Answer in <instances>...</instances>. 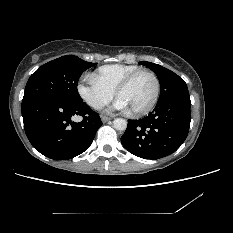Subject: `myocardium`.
Masks as SVG:
<instances>
[{
	"instance_id": "f54148a6",
	"label": "myocardium",
	"mask_w": 233,
	"mask_h": 233,
	"mask_svg": "<svg viewBox=\"0 0 233 233\" xmlns=\"http://www.w3.org/2000/svg\"><path fill=\"white\" fill-rule=\"evenodd\" d=\"M141 74H148L152 77L153 81H154V94L152 97V100L150 101V103L142 108V109H138V110H131L132 115L134 116H141V115H145L147 113H149L157 104V101L159 99L160 96V81L159 78L157 77V75L148 69H139L133 73H131L130 75H128L115 89V96L118 97L119 94L125 90L127 87H129L131 85V83Z\"/></svg>"
}]
</instances>
